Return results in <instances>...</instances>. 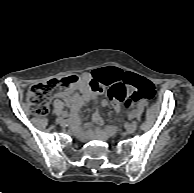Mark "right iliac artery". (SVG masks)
Wrapping results in <instances>:
<instances>
[{
	"instance_id": "obj_1",
	"label": "right iliac artery",
	"mask_w": 194,
	"mask_h": 193,
	"mask_svg": "<svg viewBox=\"0 0 194 193\" xmlns=\"http://www.w3.org/2000/svg\"><path fill=\"white\" fill-rule=\"evenodd\" d=\"M65 116H68V114H65ZM69 116H70V115H69ZM72 116L76 118V114H73Z\"/></svg>"
}]
</instances>
